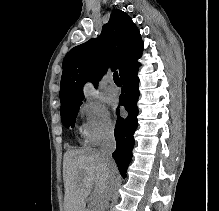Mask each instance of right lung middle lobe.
<instances>
[{
  "instance_id": "obj_1",
  "label": "right lung middle lobe",
  "mask_w": 219,
  "mask_h": 211,
  "mask_svg": "<svg viewBox=\"0 0 219 211\" xmlns=\"http://www.w3.org/2000/svg\"><path fill=\"white\" fill-rule=\"evenodd\" d=\"M81 103L82 101H78L61 105V120L65 127L69 128L71 126L72 128H74L79 106L81 105Z\"/></svg>"
}]
</instances>
